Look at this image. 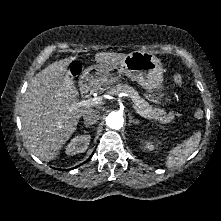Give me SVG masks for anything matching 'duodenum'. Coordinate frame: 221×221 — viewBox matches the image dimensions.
Instances as JSON below:
<instances>
[{
  "instance_id": "obj_1",
  "label": "duodenum",
  "mask_w": 221,
  "mask_h": 221,
  "mask_svg": "<svg viewBox=\"0 0 221 221\" xmlns=\"http://www.w3.org/2000/svg\"><path fill=\"white\" fill-rule=\"evenodd\" d=\"M92 92H93V90H92L91 86L89 85V83L84 81L83 84H82V95H83V97H85V98L90 97Z\"/></svg>"
}]
</instances>
